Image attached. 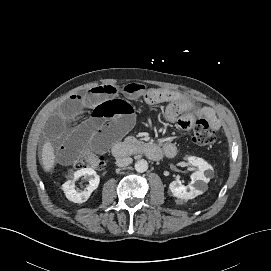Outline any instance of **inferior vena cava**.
Returning <instances> with one entry per match:
<instances>
[{
	"label": "inferior vena cava",
	"instance_id": "602c4592",
	"mask_svg": "<svg viewBox=\"0 0 271 271\" xmlns=\"http://www.w3.org/2000/svg\"><path fill=\"white\" fill-rule=\"evenodd\" d=\"M133 159L131 157H122L116 160V165L119 167H125L131 164Z\"/></svg>",
	"mask_w": 271,
	"mask_h": 271
}]
</instances>
